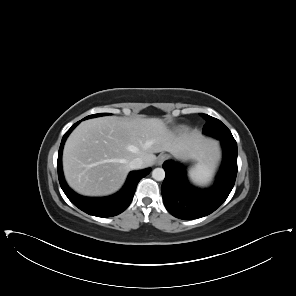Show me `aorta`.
I'll use <instances>...</instances> for the list:
<instances>
[{"label": "aorta", "mask_w": 296, "mask_h": 296, "mask_svg": "<svg viewBox=\"0 0 296 296\" xmlns=\"http://www.w3.org/2000/svg\"><path fill=\"white\" fill-rule=\"evenodd\" d=\"M152 178L156 181H162L165 178V171L163 168H155L152 171Z\"/></svg>", "instance_id": "aorta-1"}]
</instances>
